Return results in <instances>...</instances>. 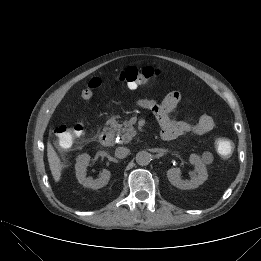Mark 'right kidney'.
Here are the masks:
<instances>
[{"label": "right kidney", "instance_id": "ca27d5eb", "mask_svg": "<svg viewBox=\"0 0 261 261\" xmlns=\"http://www.w3.org/2000/svg\"><path fill=\"white\" fill-rule=\"evenodd\" d=\"M90 162V156L88 154H82L77 157L75 170H76V178L79 183L84 187L91 189H100L106 186L110 180V171L107 169H103L100 177L98 179L93 180L92 178L86 177V169Z\"/></svg>", "mask_w": 261, "mask_h": 261}]
</instances>
